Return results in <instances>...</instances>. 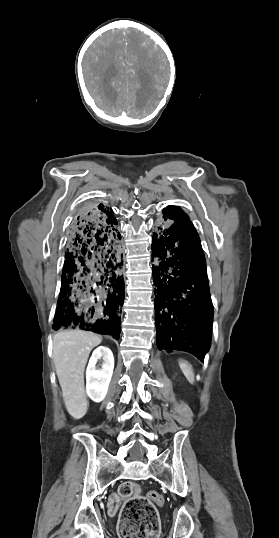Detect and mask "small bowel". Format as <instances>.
Segmentation results:
<instances>
[{
	"mask_svg": "<svg viewBox=\"0 0 279 538\" xmlns=\"http://www.w3.org/2000/svg\"><path fill=\"white\" fill-rule=\"evenodd\" d=\"M120 506V499L117 495L110 496L107 503V510L110 516L116 515Z\"/></svg>",
	"mask_w": 279,
	"mask_h": 538,
	"instance_id": "c3829d8e",
	"label": "small bowel"
}]
</instances>
